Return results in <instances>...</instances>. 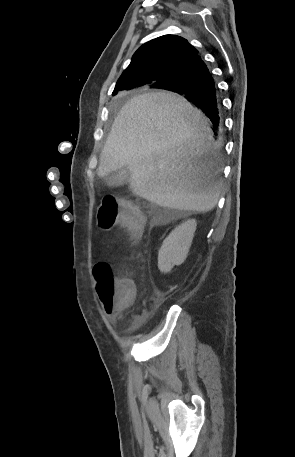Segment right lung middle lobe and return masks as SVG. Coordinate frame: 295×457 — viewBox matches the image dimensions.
Here are the masks:
<instances>
[{"mask_svg": "<svg viewBox=\"0 0 295 457\" xmlns=\"http://www.w3.org/2000/svg\"><path fill=\"white\" fill-rule=\"evenodd\" d=\"M138 86H141V85H134V87H138ZM152 88H154V87H152ZM115 94H116V93L114 92L113 95H115Z\"/></svg>", "mask_w": 295, "mask_h": 457, "instance_id": "obj_1", "label": "right lung middle lobe"}]
</instances>
